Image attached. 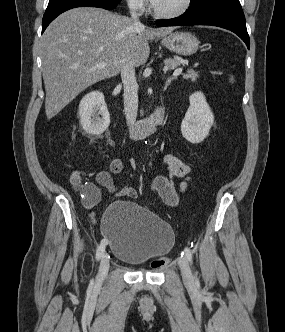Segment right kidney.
I'll list each match as a JSON object with an SVG mask.
<instances>
[{
    "mask_svg": "<svg viewBox=\"0 0 285 332\" xmlns=\"http://www.w3.org/2000/svg\"><path fill=\"white\" fill-rule=\"evenodd\" d=\"M79 116L86 133L102 134L110 124V114L103 93L93 91L86 94L79 104Z\"/></svg>",
    "mask_w": 285,
    "mask_h": 332,
    "instance_id": "1",
    "label": "right kidney"
}]
</instances>
